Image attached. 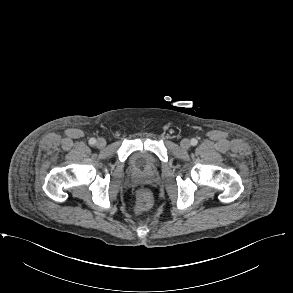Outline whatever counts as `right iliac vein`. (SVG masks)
Masks as SVG:
<instances>
[{
    "label": "right iliac vein",
    "mask_w": 293,
    "mask_h": 293,
    "mask_svg": "<svg viewBox=\"0 0 293 293\" xmlns=\"http://www.w3.org/2000/svg\"><path fill=\"white\" fill-rule=\"evenodd\" d=\"M96 146L98 148H103L106 146V140L104 138H99L97 141H96Z\"/></svg>",
    "instance_id": "obj_1"
}]
</instances>
